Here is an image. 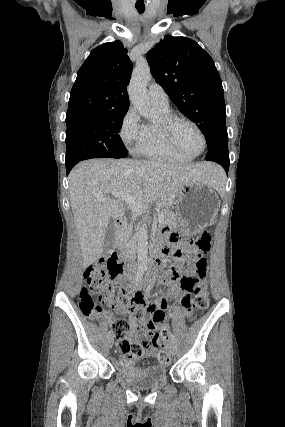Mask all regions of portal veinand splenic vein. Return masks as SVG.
I'll return each instance as SVG.
<instances>
[{"mask_svg":"<svg viewBox=\"0 0 285 427\" xmlns=\"http://www.w3.org/2000/svg\"><path fill=\"white\" fill-rule=\"evenodd\" d=\"M112 196L122 200L125 204H127L132 209V211L136 213L142 212L145 209V206L141 202L137 201L135 198L129 196L124 192L112 194ZM160 220H161V217H159V221Z\"/></svg>","mask_w":285,"mask_h":427,"instance_id":"18ae733b","label":"portal vein and splenic vein"}]
</instances>
